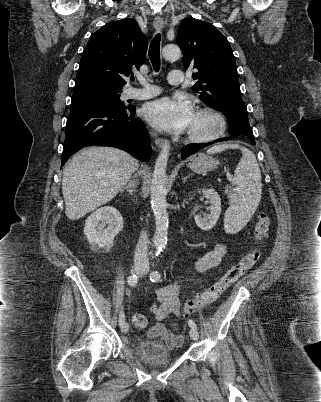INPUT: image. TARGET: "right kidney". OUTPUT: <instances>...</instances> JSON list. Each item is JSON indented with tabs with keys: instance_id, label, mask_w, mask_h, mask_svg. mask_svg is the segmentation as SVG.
<instances>
[{
	"instance_id": "right-kidney-1",
	"label": "right kidney",
	"mask_w": 321,
	"mask_h": 402,
	"mask_svg": "<svg viewBox=\"0 0 321 402\" xmlns=\"http://www.w3.org/2000/svg\"><path fill=\"white\" fill-rule=\"evenodd\" d=\"M122 229L121 214L112 206H104L86 219L84 234L92 246L109 250L113 246L114 237Z\"/></svg>"
}]
</instances>
